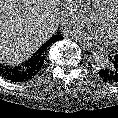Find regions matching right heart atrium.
I'll list each match as a JSON object with an SVG mask.
<instances>
[{
  "mask_svg": "<svg viewBox=\"0 0 118 118\" xmlns=\"http://www.w3.org/2000/svg\"><path fill=\"white\" fill-rule=\"evenodd\" d=\"M92 18V14L87 7L85 0H67L62 13V21L66 29H75Z\"/></svg>",
  "mask_w": 118,
  "mask_h": 118,
  "instance_id": "1",
  "label": "right heart atrium"
}]
</instances>
